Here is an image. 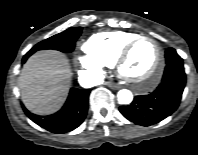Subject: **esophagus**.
Here are the masks:
<instances>
[{"label":"esophagus","instance_id":"1","mask_svg":"<svg viewBox=\"0 0 198 155\" xmlns=\"http://www.w3.org/2000/svg\"><path fill=\"white\" fill-rule=\"evenodd\" d=\"M106 84L108 85V87H110V88L113 89V90H117V89L120 88L119 85H117V84H115V83H113V82H110V81L106 82Z\"/></svg>","mask_w":198,"mask_h":155}]
</instances>
